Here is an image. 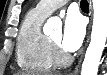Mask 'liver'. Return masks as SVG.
I'll list each match as a JSON object with an SVG mask.
<instances>
[{"instance_id": "liver-1", "label": "liver", "mask_w": 107, "mask_h": 75, "mask_svg": "<svg viewBox=\"0 0 107 75\" xmlns=\"http://www.w3.org/2000/svg\"><path fill=\"white\" fill-rule=\"evenodd\" d=\"M16 75H25V74H23V73H17Z\"/></svg>"}]
</instances>
